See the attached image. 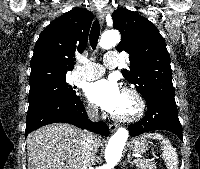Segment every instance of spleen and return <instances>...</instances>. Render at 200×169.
I'll return each instance as SVG.
<instances>
[{"label": "spleen", "mask_w": 200, "mask_h": 169, "mask_svg": "<svg viewBox=\"0 0 200 169\" xmlns=\"http://www.w3.org/2000/svg\"><path fill=\"white\" fill-rule=\"evenodd\" d=\"M144 137L161 141L162 158L166 162L167 169H178L177 152L168 139L159 133H146Z\"/></svg>", "instance_id": "3e777b00"}]
</instances>
